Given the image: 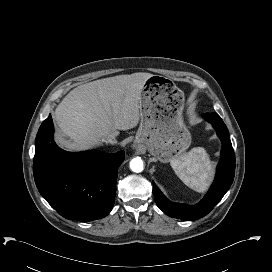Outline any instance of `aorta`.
Listing matches in <instances>:
<instances>
[{"label": "aorta", "instance_id": "762f6f07", "mask_svg": "<svg viewBox=\"0 0 272 272\" xmlns=\"http://www.w3.org/2000/svg\"><path fill=\"white\" fill-rule=\"evenodd\" d=\"M130 169L133 172L140 173L144 169V164L141 158L137 157L130 161Z\"/></svg>", "mask_w": 272, "mask_h": 272}]
</instances>
